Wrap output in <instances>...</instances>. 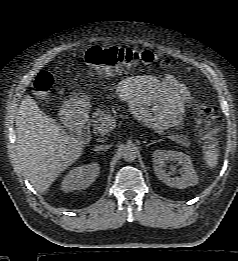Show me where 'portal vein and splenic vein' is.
<instances>
[{
    "mask_svg": "<svg viewBox=\"0 0 238 261\" xmlns=\"http://www.w3.org/2000/svg\"><path fill=\"white\" fill-rule=\"evenodd\" d=\"M116 119L111 116L107 115L105 116L104 120L101 123V131L103 132H110L116 127Z\"/></svg>",
    "mask_w": 238,
    "mask_h": 261,
    "instance_id": "18ae733b",
    "label": "portal vein and splenic vein"
}]
</instances>
